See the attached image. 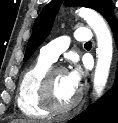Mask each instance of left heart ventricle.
Instances as JSON below:
<instances>
[{
  "mask_svg": "<svg viewBox=\"0 0 118 123\" xmlns=\"http://www.w3.org/2000/svg\"><path fill=\"white\" fill-rule=\"evenodd\" d=\"M78 88L73 87L66 72L57 73L53 80V97L60 106L70 103L76 96Z\"/></svg>",
  "mask_w": 118,
  "mask_h": 123,
  "instance_id": "obj_1",
  "label": "left heart ventricle"
}]
</instances>
